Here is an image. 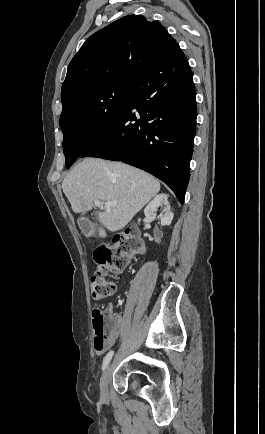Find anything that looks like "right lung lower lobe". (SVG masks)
I'll return each mask as SVG.
<instances>
[{
    "mask_svg": "<svg viewBox=\"0 0 265 434\" xmlns=\"http://www.w3.org/2000/svg\"><path fill=\"white\" fill-rule=\"evenodd\" d=\"M196 107L192 71L176 44L133 80L121 116L80 157L122 161L143 169L165 182L183 203Z\"/></svg>",
    "mask_w": 265,
    "mask_h": 434,
    "instance_id": "98d812e1",
    "label": "right lung lower lobe"
}]
</instances>
